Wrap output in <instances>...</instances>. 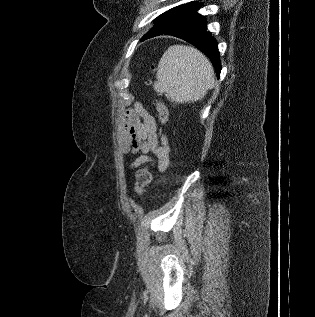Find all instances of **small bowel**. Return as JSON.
I'll list each match as a JSON object with an SVG mask.
<instances>
[{"label": "small bowel", "instance_id": "obj_1", "mask_svg": "<svg viewBox=\"0 0 315 317\" xmlns=\"http://www.w3.org/2000/svg\"><path fill=\"white\" fill-rule=\"evenodd\" d=\"M119 146L125 154H140L133 161V168L153 162L160 172H164L169 166L168 140L158 132L155 118L140 104L124 113L119 123ZM149 153H153L155 158Z\"/></svg>", "mask_w": 315, "mask_h": 317}]
</instances>
